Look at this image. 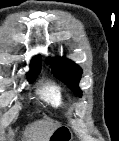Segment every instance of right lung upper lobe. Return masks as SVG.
Instances as JSON below:
<instances>
[{"instance_id":"right-lung-upper-lobe-1","label":"right lung upper lobe","mask_w":119,"mask_h":141,"mask_svg":"<svg viewBox=\"0 0 119 141\" xmlns=\"http://www.w3.org/2000/svg\"><path fill=\"white\" fill-rule=\"evenodd\" d=\"M40 69H41V58L37 56L32 60L30 73L40 71Z\"/></svg>"}]
</instances>
